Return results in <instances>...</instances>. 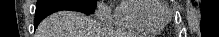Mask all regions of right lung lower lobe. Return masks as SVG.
<instances>
[{"label":"right lung lower lobe","mask_w":219,"mask_h":37,"mask_svg":"<svg viewBox=\"0 0 219 37\" xmlns=\"http://www.w3.org/2000/svg\"><path fill=\"white\" fill-rule=\"evenodd\" d=\"M61 10H72V11H79L85 14H90L88 12H85L81 10L80 8L72 5V4H67V3H55L49 6H45L42 8L36 9V16H35V27L38 26V24L48 15L61 11Z\"/></svg>","instance_id":"right-lung-lower-lobe-1"}]
</instances>
